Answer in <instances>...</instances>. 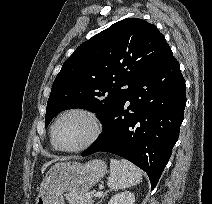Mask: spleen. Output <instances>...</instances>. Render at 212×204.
I'll return each instance as SVG.
<instances>
[{
	"instance_id": "spleen-1",
	"label": "spleen",
	"mask_w": 212,
	"mask_h": 204,
	"mask_svg": "<svg viewBox=\"0 0 212 204\" xmlns=\"http://www.w3.org/2000/svg\"><path fill=\"white\" fill-rule=\"evenodd\" d=\"M142 182L141 170L125 159L110 160V177L107 185L111 190L125 189Z\"/></svg>"
}]
</instances>
